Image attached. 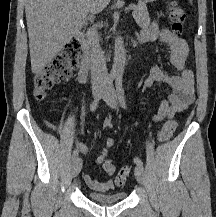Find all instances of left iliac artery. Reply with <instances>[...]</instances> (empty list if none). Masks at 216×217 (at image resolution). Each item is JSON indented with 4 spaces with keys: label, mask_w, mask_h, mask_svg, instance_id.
<instances>
[{
    "label": "left iliac artery",
    "mask_w": 216,
    "mask_h": 217,
    "mask_svg": "<svg viewBox=\"0 0 216 217\" xmlns=\"http://www.w3.org/2000/svg\"><path fill=\"white\" fill-rule=\"evenodd\" d=\"M116 91H117V95H118L120 105L124 109H127V104H126V101H125L124 90H123V85H122V75H117V77H116ZM134 162L138 166L143 167V162H142V160L140 158L135 157Z\"/></svg>",
    "instance_id": "obj_1"
}]
</instances>
